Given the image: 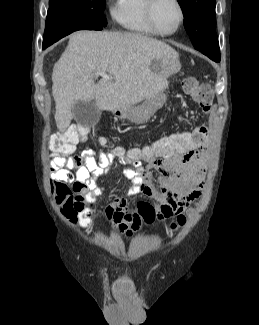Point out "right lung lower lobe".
<instances>
[{"mask_svg": "<svg viewBox=\"0 0 259 325\" xmlns=\"http://www.w3.org/2000/svg\"><path fill=\"white\" fill-rule=\"evenodd\" d=\"M47 46H43L42 48L45 49Z\"/></svg>", "mask_w": 259, "mask_h": 325, "instance_id": "98d812e1", "label": "right lung lower lobe"}]
</instances>
